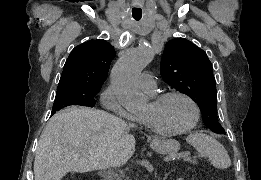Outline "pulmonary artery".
I'll return each mask as SVG.
<instances>
[{
	"instance_id": "pulmonary-artery-1",
	"label": "pulmonary artery",
	"mask_w": 261,
	"mask_h": 180,
	"mask_svg": "<svg viewBox=\"0 0 261 180\" xmlns=\"http://www.w3.org/2000/svg\"><path fill=\"white\" fill-rule=\"evenodd\" d=\"M139 84L141 88L146 90H153L156 88L157 82L155 76L148 71H144L139 77Z\"/></svg>"
}]
</instances>
